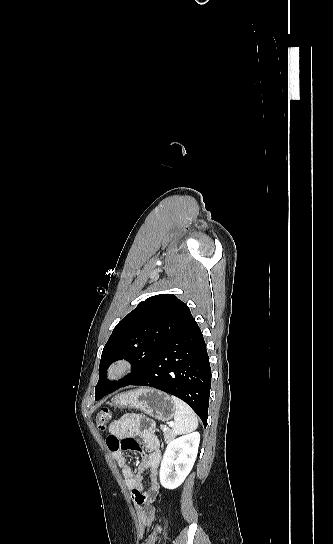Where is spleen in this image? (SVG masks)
Returning a JSON list of instances; mask_svg holds the SVG:
<instances>
[{
  "label": "spleen",
  "mask_w": 333,
  "mask_h": 544,
  "mask_svg": "<svg viewBox=\"0 0 333 544\" xmlns=\"http://www.w3.org/2000/svg\"><path fill=\"white\" fill-rule=\"evenodd\" d=\"M171 399L176 407L173 433L180 435L197 429L198 419L190 406L175 396H171Z\"/></svg>",
  "instance_id": "obj_1"
}]
</instances>
